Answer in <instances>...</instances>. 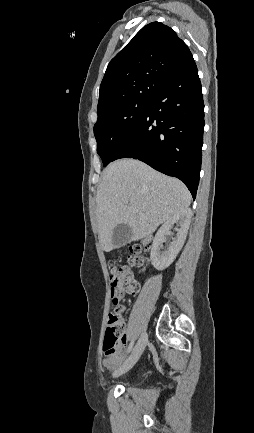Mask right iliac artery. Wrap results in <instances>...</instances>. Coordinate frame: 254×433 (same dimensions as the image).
Here are the masks:
<instances>
[{
	"label": "right iliac artery",
	"instance_id": "1",
	"mask_svg": "<svg viewBox=\"0 0 254 433\" xmlns=\"http://www.w3.org/2000/svg\"><path fill=\"white\" fill-rule=\"evenodd\" d=\"M133 343H131L127 349V354H129L132 350Z\"/></svg>",
	"mask_w": 254,
	"mask_h": 433
}]
</instances>
